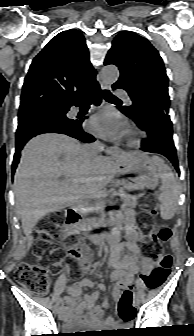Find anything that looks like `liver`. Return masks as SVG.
I'll use <instances>...</instances> for the list:
<instances>
[{"instance_id": "1", "label": "liver", "mask_w": 194, "mask_h": 336, "mask_svg": "<svg viewBox=\"0 0 194 336\" xmlns=\"http://www.w3.org/2000/svg\"><path fill=\"white\" fill-rule=\"evenodd\" d=\"M120 172L108 157L92 160L87 145L61 134H42L31 139L21 152L14 177L16 207L26 236L51 212L68 207L102 188ZM64 176L66 179L60 181Z\"/></svg>"}]
</instances>
